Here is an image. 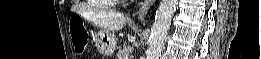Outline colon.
Returning a JSON list of instances; mask_svg holds the SVG:
<instances>
[{
	"label": "colon",
	"mask_w": 261,
	"mask_h": 59,
	"mask_svg": "<svg viewBox=\"0 0 261 59\" xmlns=\"http://www.w3.org/2000/svg\"><path fill=\"white\" fill-rule=\"evenodd\" d=\"M72 35H73L77 49L82 50L86 43V39H87L85 32L82 30H74Z\"/></svg>",
	"instance_id": "5ec220e1"
}]
</instances>
